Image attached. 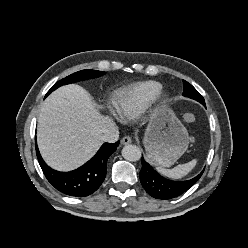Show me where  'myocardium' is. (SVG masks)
<instances>
[{
  "mask_svg": "<svg viewBox=\"0 0 248 248\" xmlns=\"http://www.w3.org/2000/svg\"><path fill=\"white\" fill-rule=\"evenodd\" d=\"M162 95H163L162 92H160L158 96H162Z\"/></svg>",
  "mask_w": 248,
  "mask_h": 248,
  "instance_id": "myocardium-1",
  "label": "myocardium"
}]
</instances>
